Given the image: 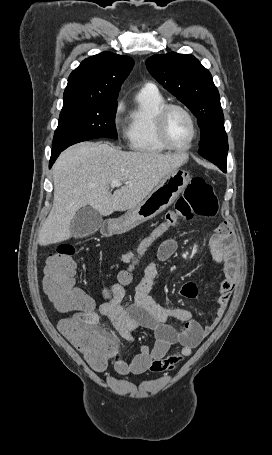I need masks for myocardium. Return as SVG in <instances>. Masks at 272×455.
Segmentation results:
<instances>
[{"instance_id":"f54148a6","label":"myocardium","mask_w":272,"mask_h":455,"mask_svg":"<svg viewBox=\"0 0 272 455\" xmlns=\"http://www.w3.org/2000/svg\"><path fill=\"white\" fill-rule=\"evenodd\" d=\"M173 109H178L182 111L189 119L191 126H192V137L189 141V143L186 146L179 147L174 145L167 134V128H166V121H167V116L169 112ZM155 129H156V134L158 136V139L160 142L169 150H173L176 152H186L192 148L194 145L195 141L198 138L199 134V129H198V124L196 121L195 116L193 113L184 105L179 104V103H165L163 104L158 111L156 112L155 115Z\"/></svg>"}]
</instances>
